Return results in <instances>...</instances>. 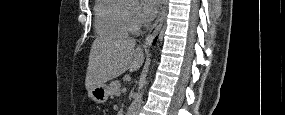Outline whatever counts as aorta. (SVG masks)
<instances>
[{
	"label": "aorta",
	"instance_id": "1",
	"mask_svg": "<svg viewBox=\"0 0 285 115\" xmlns=\"http://www.w3.org/2000/svg\"><path fill=\"white\" fill-rule=\"evenodd\" d=\"M147 84H148V82L146 80H144L142 90L134 98L133 102L131 103V105L128 109L127 115H138L140 108H141V104H142L144 89L146 88Z\"/></svg>",
	"mask_w": 285,
	"mask_h": 115
}]
</instances>
